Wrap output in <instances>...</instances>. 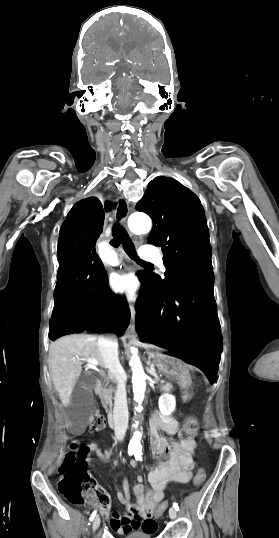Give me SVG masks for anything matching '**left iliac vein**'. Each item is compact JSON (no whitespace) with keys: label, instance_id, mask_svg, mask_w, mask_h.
Listing matches in <instances>:
<instances>
[{"label":"left iliac vein","instance_id":"4c4485c4","mask_svg":"<svg viewBox=\"0 0 279 538\" xmlns=\"http://www.w3.org/2000/svg\"><path fill=\"white\" fill-rule=\"evenodd\" d=\"M169 516L172 520H174L177 517V512L174 508H170L169 510Z\"/></svg>","mask_w":279,"mask_h":538}]
</instances>
